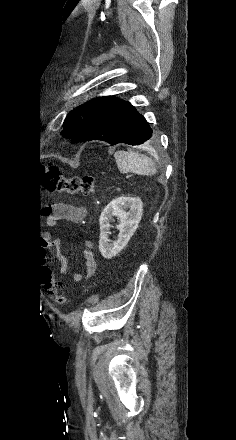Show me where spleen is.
Listing matches in <instances>:
<instances>
[{"label":"spleen","instance_id":"obj_1","mask_svg":"<svg viewBox=\"0 0 236 440\" xmlns=\"http://www.w3.org/2000/svg\"><path fill=\"white\" fill-rule=\"evenodd\" d=\"M114 158L120 172H133L139 175H153L156 173L154 162L144 154L133 151H117Z\"/></svg>","mask_w":236,"mask_h":440}]
</instances>
